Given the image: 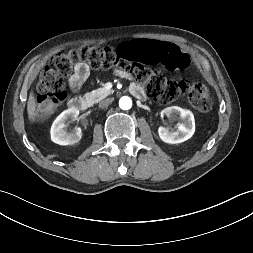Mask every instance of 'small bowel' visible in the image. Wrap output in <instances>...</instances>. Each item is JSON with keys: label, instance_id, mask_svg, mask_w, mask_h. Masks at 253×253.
Wrapping results in <instances>:
<instances>
[{"label": "small bowel", "instance_id": "obj_1", "mask_svg": "<svg viewBox=\"0 0 253 253\" xmlns=\"http://www.w3.org/2000/svg\"><path fill=\"white\" fill-rule=\"evenodd\" d=\"M137 41H141V40H137ZM170 71H173V70H170ZM115 73L122 78L128 77V73L120 68L116 69ZM88 76H89L88 66L85 63H77L74 66L73 73L69 79L70 88L74 91L79 90L83 86L85 81L87 80ZM134 87L140 88V86L138 85H133L132 88Z\"/></svg>", "mask_w": 253, "mask_h": 253}]
</instances>
